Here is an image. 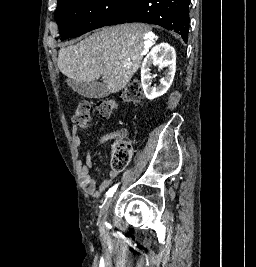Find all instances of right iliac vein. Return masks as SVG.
<instances>
[{"mask_svg": "<svg viewBox=\"0 0 256 267\" xmlns=\"http://www.w3.org/2000/svg\"><path fill=\"white\" fill-rule=\"evenodd\" d=\"M111 203H112V199L108 200L107 203L104 205L102 212H101L102 216H106L108 214ZM101 224L103 225V221H101Z\"/></svg>", "mask_w": 256, "mask_h": 267, "instance_id": "1", "label": "right iliac vein"}]
</instances>
